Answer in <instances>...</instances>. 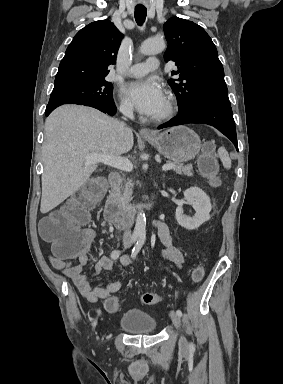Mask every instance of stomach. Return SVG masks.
<instances>
[{"label":"stomach","instance_id":"obj_1","mask_svg":"<svg viewBox=\"0 0 283 384\" xmlns=\"http://www.w3.org/2000/svg\"><path fill=\"white\" fill-rule=\"evenodd\" d=\"M144 140L157 148L165 158L178 164L193 160L201 148L199 136L186 126H176L162 134H156L155 138H144Z\"/></svg>","mask_w":283,"mask_h":384}]
</instances>
